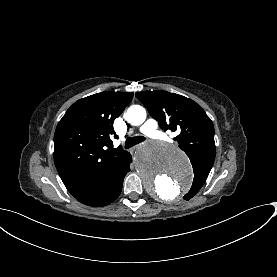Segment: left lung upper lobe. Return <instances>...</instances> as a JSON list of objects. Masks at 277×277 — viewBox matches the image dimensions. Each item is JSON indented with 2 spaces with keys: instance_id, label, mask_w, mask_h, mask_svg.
<instances>
[{
  "instance_id": "5c2ea615",
  "label": "left lung upper lobe",
  "mask_w": 277,
  "mask_h": 277,
  "mask_svg": "<svg viewBox=\"0 0 277 277\" xmlns=\"http://www.w3.org/2000/svg\"><path fill=\"white\" fill-rule=\"evenodd\" d=\"M136 97L166 131L178 130L174 138L189 157L194 171L192 187L184 199H191L206 181L214 163V126L205 111L193 100L166 91H142Z\"/></svg>"
}]
</instances>
